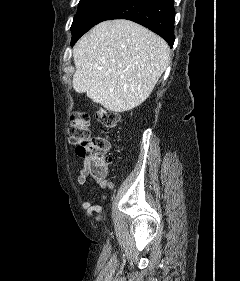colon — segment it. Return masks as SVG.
Wrapping results in <instances>:
<instances>
[{
  "label": "colon",
  "instance_id": "obj_1",
  "mask_svg": "<svg viewBox=\"0 0 240 281\" xmlns=\"http://www.w3.org/2000/svg\"><path fill=\"white\" fill-rule=\"evenodd\" d=\"M95 116L105 130L116 128L119 122V116L106 109H99ZM89 121L90 116L86 112H75L72 115L68 129L69 143L76 155L87 160V170L94 175L102 176L112 161L109 153L110 144L106 136L90 135Z\"/></svg>",
  "mask_w": 240,
  "mask_h": 281
}]
</instances>
